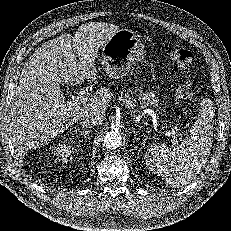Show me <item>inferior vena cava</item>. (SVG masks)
Returning <instances> with one entry per match:
<instances>
[{
	"instance_id": "1",
	"label": "inferior vena cava",
	"mask_w": 231,
	"mask_h": 231,
	"mask_svg": "<svg viewBox=\"0 0 231 231\" xmlns=\"http://www.w3.org/2000/svg\"><path fill=\"white\" fill-rule=\"evenodd\" d=\"M98 124V120L91 113L84 114L80 119V125L83 128H92Z\"/></svg>"
}]
</instances>
